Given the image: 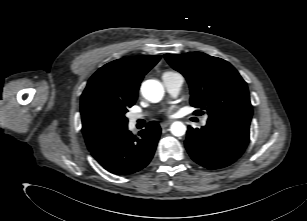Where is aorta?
Returning a JSON list of instances; mask_svg holds the SVG:
<instances>
[{
	"label": "aorta",
	"instance_id": "762f6f07",
	"mask_svg": "<svg viewBox=\"0 0 307 221\" xmlns=\"http://www.w3.org/2000/svg\"><path fill=\"white\" fill-rule=\"evenodd\" d=\"M141 93L148 101L157 103L164 96V88L157 80H146L142 83ZM170 131L174 136H183L186 132V126L182 122L176 121L170 126Z\"/></svg>",
	"mask_w": 307,
	"mask_h": 221
}]
</instances>
